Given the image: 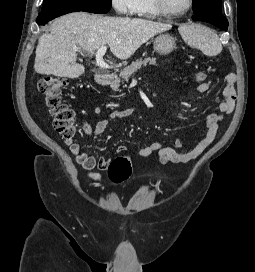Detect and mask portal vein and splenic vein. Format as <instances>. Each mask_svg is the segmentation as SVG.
<instances>
[{"mask_svg": "<svg viewBox=\"0 0 255 272\" xmlns=\"http://www.w3.org/2000/svg\"><path fill=\"white\" fill-rule=\"evenodd\" d=\"M107 50L106 46H101L96 52V65L108 69L109 65L104 61L103 56L105 55ZM78 51V50H77Z\"/></svg>", "mask_w": 255, "mask_h": 272, "instance_id": "1", "label": "portal vein and splenic vein"}]
</instances>
